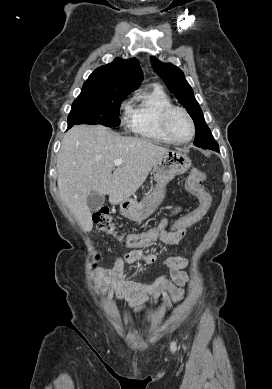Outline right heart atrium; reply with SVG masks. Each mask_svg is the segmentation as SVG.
<instances>
[{"mask_svg":"<svg viewBox=\"0 0 272 389\" xmlns=\"http://www.w3.org/2000/svg\"><path fill=\"white\" fill-rule=\"evenodd\" d=\"M123 107H127V104H123Z\"/></svg>","mask_w":272,"mask_h":389,"instance_id":"1","label":"right heart atrium"}]
</instances>
